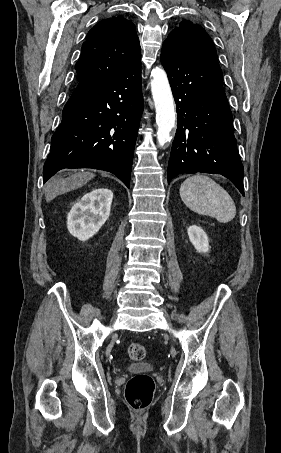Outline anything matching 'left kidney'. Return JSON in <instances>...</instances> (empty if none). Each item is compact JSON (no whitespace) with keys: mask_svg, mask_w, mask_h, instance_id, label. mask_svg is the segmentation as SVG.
Wrapping results in <instances>:
<instances>
[{"mask_svg":"<svg viewBox=\"0 0 281 453\" xmlns=\"http://www.w3.org/2000/svg\"><path fill=\"white\" fill-rule=\"evenodd\" d=\"M187 233L190 243H192L198 253H208V237L201 227H197V224H191V227L187 229Z\"/></svg>","mask_w":281,"mask_h":453,"instance_id":"left-kidney-1","label":"left kidney"}]
</instances>
